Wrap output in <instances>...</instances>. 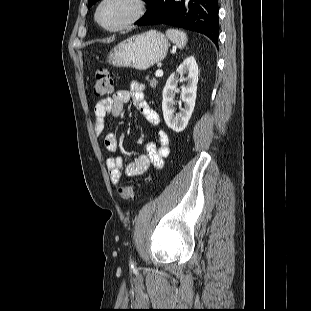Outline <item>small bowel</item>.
I'll use <instances>...</instances> for the list:
<instances>
[{
    "instance_id": "small-bowel-1",
    "label": "small bowel",
    "mask_w": 311,
    "mask_h": 311,
    "mask_svg": "<svg viewBox=\"0 0 311 311\" xmlns=\"http://www.w3.org/2000/svg\"><path fill=\"white\" fill-rule=\"evenodd\" d=\"M133 102L137 110L152 125L158 126L160 118L158 113L150 107L145 94L144 87L138 82H132L130 90H118L111 97L98 101L94 108L92 128L96 135H101L105 128V119L108 115L118 117L123 112L124 106ZM158 144L150 141L145 145V154L138 156L134 161L125 164L123 156H110L106 160L111 181L117 184L123 173L128 176L137 177L145 174L150 166L157 169L164 164V159L170 152V139L164 130L157 132ZM104 146L108 152H115L118 140L114 133H107L104 137Z\"/></svg>"
}]
</instances>
